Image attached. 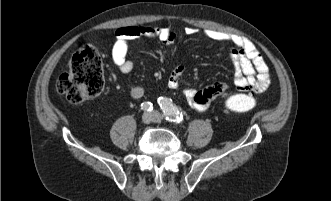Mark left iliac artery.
I'll list each match as a JSON object with an SVG mask.
<instances>
[{
	"instance_id": "obj_1",
	"label": "left iliac artery",
	"mask_w": 331,
	"mask_h": 201,
	"mask_svg": "<svg viewBox=\"0 0 331 201\" xmlns=\"http://www.w3.org/2000/svg\"><path fill=\"white\" fill-rule=\"evenodd\" d=\"M158 103L167 120L175 123H181L183 121L182 112L172 103L171 99L160 97Z\"/></svg>"
}]
</instances>
